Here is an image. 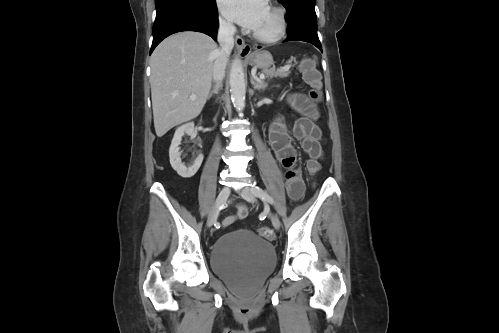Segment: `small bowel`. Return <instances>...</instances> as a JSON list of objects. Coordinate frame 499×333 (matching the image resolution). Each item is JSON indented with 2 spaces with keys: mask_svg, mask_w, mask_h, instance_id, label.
<instances>
[{
  "mask_svg": "<svg viewBox=\"0 0 499 333\" xmlns=\"http://www.w3.org/2000/svg\"><path fill=\"white\" fill-rule=\"evenodd\" d=\"M289 102L301 115L293 126L292 135L288 132L283 119L278 117L271 125L269 140L277 159L286 169L285 188L287 194L291 199L298 200L303 195L304 182L301 172L296 168L297 148L293 141L296 140L299 143L301 149L308 154L310 159L320 160L323 158V133L314 122L318 116V109L305 94H292L289 96ZM247 214V207L240 204L237 213L226 218L224 225L227 226L236 220L244 219Z\"/></svg>",
  "mask_w": 499,
  "mask_h": 333,
  "instance_id": "obj_1",
  "label": "small bowel"
}]
</instances>
